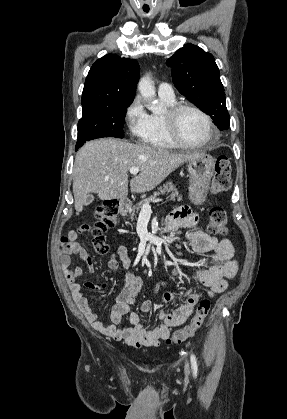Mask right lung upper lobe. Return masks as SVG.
I'll return each mask as SVG.
<instances>
[{"label":"right lung upper lobe","instance_id":"right-lung-upper-lobe-1","mask_svg":"<svg viewBox=\"0 0 287 419\" xmlns=\"http://www.w3.org/2000/svg\"><path fill=\"white\" fill-rule=\"evenodd\" d=\"M140 75L138 62L108 54L91 67L82 93V110L132 103Z\"/></svg>","mask_w":287,"mask_h":419}]
</instances>
